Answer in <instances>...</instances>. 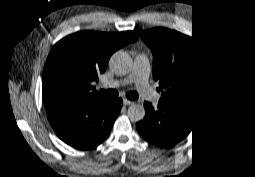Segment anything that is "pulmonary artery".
Wrapping results in <instances>:
<instances>
[{
  "label": "pulmonary artery",
  "mask_w": 255,
  "mask_h": 177,
  "mask_svg": "<svg viewBox=\"0 0 255 177\" xmlns=\"http://www.w3.org/2000/svg\"><path fill=\"white\" fill-rule=\"evenodd\" d=\"M146 64H147V63H146ZM146 70H148V67H146ZM148 82H149V80H148V77H147V75H146V76H144V77L142 78L141 83H142L143 85H147Z\"/></svg>",
  "instance_id": "obj_1"
}]
</instances>
